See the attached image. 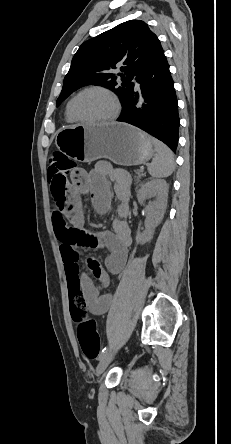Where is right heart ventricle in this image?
<instances>
[{
    "instance_id": "right-heart-ventricle-1",
    "label": "right heart ventricle",
    "mask_w": 231,
    "mask_h": 444,
    "mask_svg": "<svg viewBox=\"0 0 231 444\" xmlns=\"http://www.w3.org/2000/svg\"><path fill=\"white\" fill-rule=\"evenodd\" d=\"M71 100L70 99L66 105V109H65V118L66 121L69 123H75L77 122V120L72 116L71 111H70V104H71Z\"/></svg>"
}]
</instances>
